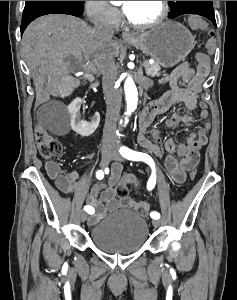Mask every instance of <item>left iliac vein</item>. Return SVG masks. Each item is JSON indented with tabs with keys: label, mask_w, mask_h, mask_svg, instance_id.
Returning a JSON list of instances; mask_svg holds the SVG:
<instances>
[{
	"label": "left iliac vein",
	"mask_w": 237,
	"mask_h": 300,
	"mask_svg": "<svg viewBox=\"0 0 237 300\" xmlns=\"http://www.w3.org/2000/svg\"><path fill=\"white\" fill-rule=\"evenodd\" d=\"M111 159H113V160H115V161H123L122 156H121L117 151H115V150H114V152H113V154H112V156H111ZM160 224H161V222H160L158 219L153 220V225H154V227L157 228V227L160 226Z\"/></svg>",
	"instance_id": "1"
}]
</instances>
